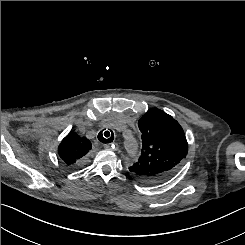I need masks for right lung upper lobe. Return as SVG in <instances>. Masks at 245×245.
<instances>
[{
    "mask_svg": "<svg viewBox=\"0 0 245 245\" xmlns=\"http://www.w3.org/2000/svg\"><path fill=\"white\" fill-rule=\"evenodd\" d=\"M92 148L91 142L70 132L60 143L58 153L60 158L69 165H78Z\"/></svg>",
    "mask_w": 245,
    "mask_h": 245,
    "instance_id": "cb5924a9",
    "label": "right lung upper lobe"
}]
</instances>
